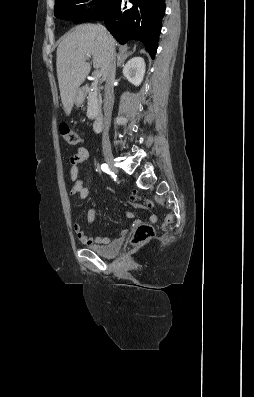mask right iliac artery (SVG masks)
Returning a JSON list of instances; mask_svg holds the SVG:
<instances>
[{"label":"right iliac artery","mask_w":254,"mask_h":397,"mask_svg":"<svg viewBox=\"0 0 254 397\" xmlns=\"http://www.w3.org/2000/svg\"><path fill=\"white\" fill-rule=\"evenodd\" d=\"M101 169H102L104 172H106V173H109V172H110V170H109L107 164H102V165H101Z\"/></svg>","instance_id":"obj_1"}]
</instances>
